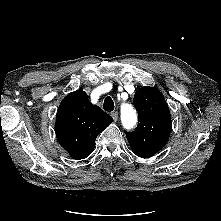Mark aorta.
<instances>
[{
	"mask_svg": "<svg viewBox=\"0 0 221 221\" xmlns=\"http://www.w3.org/2000/svg\"><path fill=\"white\" fill-rule=\"evenodd\" d=\"M121 122L126 129L133 128L137 123L136 111L129 103L121 105Z\"/></svg>",
	"mask_w": 221,
	"mask_h": 221,
	"instance_id": "1",
	"label": "aorta"
}]
</instances>
